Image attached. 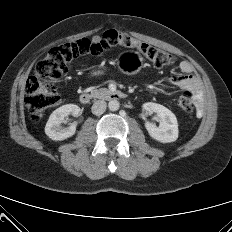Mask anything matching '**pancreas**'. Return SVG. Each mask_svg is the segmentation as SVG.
Returning <instances> with one entry per match:
<instances>
[{
    "label": "pancreas",
    "mask_w": 232,
    "mask_h": 232,
    "mask_svg": "<svg viewBox=\"0 0 232 232\" xmlns=\"http://www.w3.org/2000/svg\"><path fill=\"white\" fill-rule=\"evenodd\" d=\"M109 90L106 88H100V89H95L92 90V95L96 98H102L103 96L109 94Z\"/></svg>",
    "instance_id": "cf45deb5"
}]
</instances>
